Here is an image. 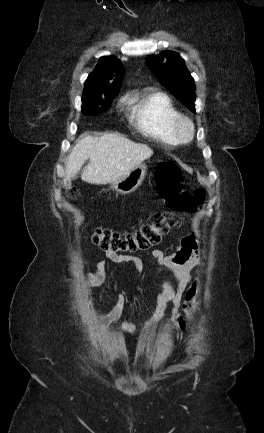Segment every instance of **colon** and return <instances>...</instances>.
<instances>
[{"mask_svg": "<svg viewBox=\"0 0 264 433\" xmlns=\"http://www.w3.org/2000/svg\"><path fill=\"white\" fill-rule=\"evenodd\" d=\"M155 182L159 196L174 212L153 214L146 224L130 233L96 229L92 235V241L98 247L105 252L118 255L146 250L158 244L163 236L178 227L182 217L194 212L205 198L203 188L198 189L194 194L183 188L184 174L174 162H164L158 167ZM76 193V189L69 191L70 196H75ZM198 291L199 282L195 281L185 296L183 309L189 320L196 307Z\"/></svg>", "mask_w": 264, "mask_h": 433, "instance_id": "1", "label": "colon"}]
</instances>
